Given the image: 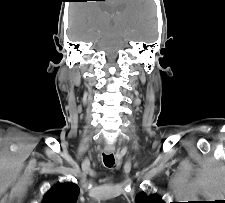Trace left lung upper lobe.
<instances>
[{
  "instance_id": "left-lung-upper-lobe-1",
  "label": "left lung upper lobe",
  "mask_w": 225,
  "mask_h": 203,
  "mask_svg": "<svg viewBox=\"0 0 225 203\" xmlns=\"http://www.w3.org/2000/svg\"><path fill=\"white\" fill-rule=\"evenodd\" d=\"M136 202L137 203H165L156 194L147 195L145 192H142L139 195H137Z\"/></svg>"
}]
</instances>
